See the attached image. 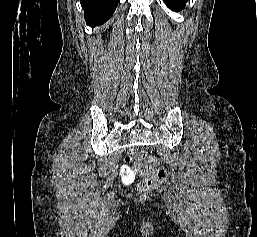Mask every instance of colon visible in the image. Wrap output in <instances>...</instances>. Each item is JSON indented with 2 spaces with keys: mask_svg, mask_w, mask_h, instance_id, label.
I'll list each match as a JSON object with an SVG mask.
<instances>
[{
  "mask_svg": "<svg viewBox=\"0 0 257 237\" xmlns=\"http://www.w3.org/2000/svg\"><path fill=\"white\" fill-rule=\"evenodd\" d=\"M145 158L146 153L140 148H132L127 156V161L132 159L136 161V168L142 175V180L138 185L141 192L151 190L157 183L164 182L167 177L166 171L158 165L155 159H150L147 163L141 165L140 162Z\"/></svg>",
  "mask_w": 257,
  "mask_h": 237,
  "instance_id": "5ec220e1",
  "label": "colon"
}]
</instances>
